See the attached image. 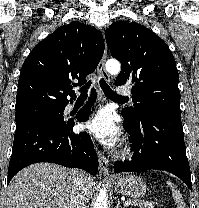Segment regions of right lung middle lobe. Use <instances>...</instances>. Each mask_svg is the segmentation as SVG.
<instances>
[{
    "label": "right lung middle lobe",
    "mask_w": 199,
    "mask_h": 208,
    "mask_svg": "<svg viewBox=\"0 0 199 208\" xmlns=\"http://www.w3.org/2000/svg\"><path fill=\"white\" fill-rule=\"evenodd\" d=\"M63 111L64 107L29 106L17 109L15 118L17 123L29 119H47L64 122Z\"/></svg>",
    "instance_id": "dd1d6c3e"
}]
</instances>
